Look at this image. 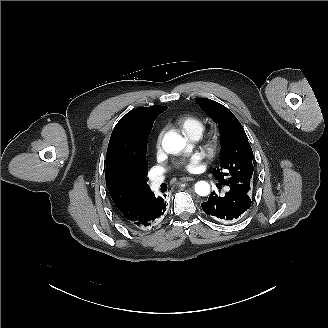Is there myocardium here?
I'll list each match as a JSON object with an SVG mask.
<instances>
[{
	"instance_id": "f54148a6",
	"label": "myocardium",
	"mask_w": 328,
	"mask_h": 328,
	"mask_svg": "<svg viewBox=\"0 0 328 328\" xmlns=\"http://www.w3.org/2000/svg\"><path fill=\"white\" fill-rule=\"evenodd\" d=\"M225 136L222 129L216 125L207 127L203 134L198 138H188L185 152L190 153L197 149L204 155L209 164L215 163L224 148Z\"/></svg>"
}]
</instances>
